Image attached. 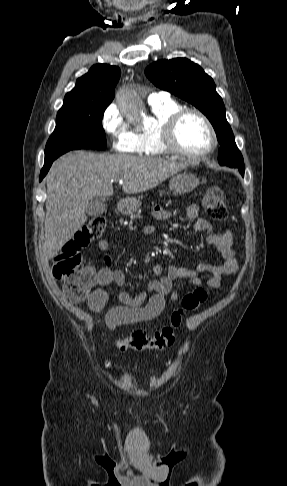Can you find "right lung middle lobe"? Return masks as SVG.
<instances>
[{
  "label": "right lung middle lobe",
  "instance_id": "1",
  "mask_svg": "<svg viewBox=\"0 0 287 486\" xmlns=\"http://www.w3.org/2000/svg\"><path fill=\"white\" fill-rule=\"evenodd\" d=\"M109 104H82L62 107L56 127L45 148V162L74 149H105L102 118Z\"/></svg>",
  "mask_w": 287,
  "mask_h": 486
}]
</instances>
